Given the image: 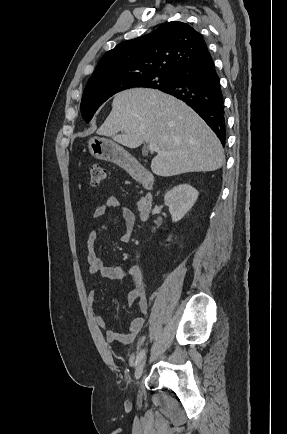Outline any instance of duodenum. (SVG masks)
Masks as SVG:
<instances>
[{"instance_id":"1","label":"duodenum","mask_w":287,"mask_h":434,"mask_svg":"<svg viewBox=\"0 0 287 434\" xmlns=\"http://www.w3.org/2000/svg\"><path fill=\"white\" fill-rule=\"evenodd\" d=\"M123 164L131 170V173L136 181L147 188H151L153 186V178L143 167L138 164L136 159L127 157L123 160ZM152 206L153 197L151 194H146L139 200L138 214L141 221H146L149 218Z\"/></svg>"}]
</instances>
